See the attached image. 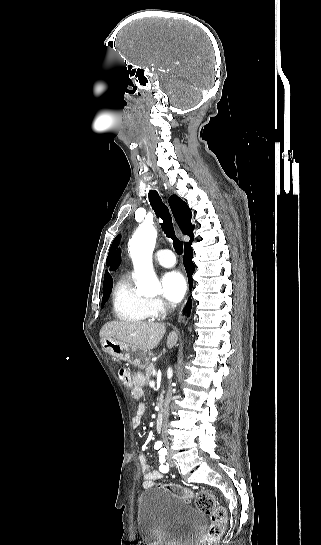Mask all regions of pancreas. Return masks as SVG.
<instances>
[{"mask_svg": "<svg viewBox=\"0 0 321 545\" xmlns=\"http://www.w3.org/2000/svg\"><path fill=\"white\" fill-rule=\"evenodd\" d=\"M145 371H146V373H145L146 381H147V383H151V377L153 375V371H155L154 363H149V365H147ZM161 397H163V395H161Z\"/></svg>", "mask_w": 321, "mask_h": 545, "instance_id": "obj_1", "label": "pancreas"}]
</instances>
